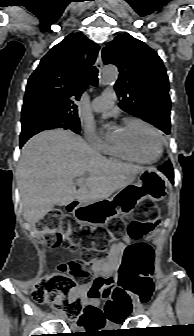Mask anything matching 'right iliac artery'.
I'll use <instances>...</instances> for the list:
<instances>
[{"label": "right iliac artery", "mask_w": 194, "mask_h": 336, "mask_svg": "<svg viewBox=\"0 0 194 336\" xmlns=\"http://www.w3.org/2000/svg\"><path fill=\"white\" fill-rule=\"evenodd\" d=\"M57 313H61V311H59V310H58V312H57Z\"/></svg>", "instance_id": "82829eb1"}]
</instances>
